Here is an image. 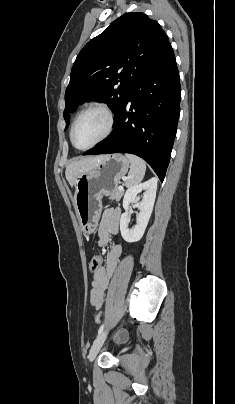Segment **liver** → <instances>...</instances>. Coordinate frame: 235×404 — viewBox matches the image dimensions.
<instances>
[{
	"mask_svg": "<svg viewBox=\"0 0 235 404\" xmlns=\"http://www.w3.org/2000/svg\"><path fill=\"white\" fill-rule=\"evenodd\" d=\"M105 157L106 155L84 157L68 164L66 167L65 176L69 184L73 186L77 177L91 170Z\"/></svg>",
	"mask_w": 235,
	"mask_h": 404,
	"instance_id": "6515ba94",
	"label": "liver"
}]
</instances>
